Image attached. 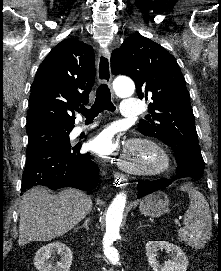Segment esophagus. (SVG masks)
<instances>
[{
    "instance_id": "obj_1",
    "label": "esophagus",
    "mask_w": 221,
    "mask_h": 271,
    "mask_svg": "<svg viewBox=\"0 0 221 271\" xmlns=\"http://www.w3.org/2000/svg\"><path fill=\"white\" fill-rule=\"evenodd\" d=\"M97 78L100 83L111 85L112 73L110 64V54L104 49H99L98 62H97ZM114 177L118 178L123 186H126L128 179L122 173H114Z\"/></svg>"
}]
</instances>
